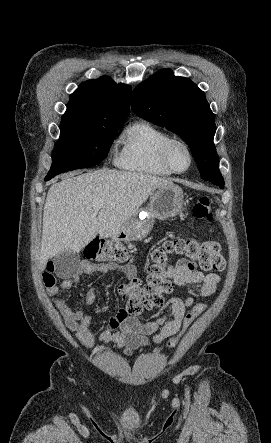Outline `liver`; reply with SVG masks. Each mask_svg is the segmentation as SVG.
Instances as JSON below:
<instances>
[{"mask_svg": "<svg viewBox=\"0 0 271 443\" xmlns=\"http://www.w3.org/2000/svg\"><path fill=\"white\" fill-rule=\"evenodd\" d=\"M60 178L62 182L53 184L46 196L40 269L59 253H79L97 233L100 237L120 233L154 190L172 184L158 176L108 168ZM96 202H103L100 212L94 210Z\"/></svg>", "mask_w": 271, "mask_h": 443, "instance_id": "1", "label": "liver"}]
</instances>
